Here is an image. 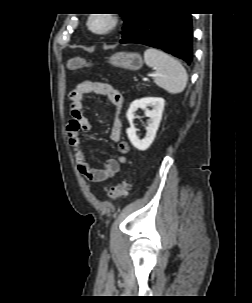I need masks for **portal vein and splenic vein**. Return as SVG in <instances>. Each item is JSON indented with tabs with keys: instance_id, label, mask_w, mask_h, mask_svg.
Instances as JSON below:
<instances>
[{
	"instance_id": "obj_1",
	"label": "portal vein and splenic vein",
	"mask_w": 252,
	"mask_h": 303,
	"mask_svg": "<svg viewBox=\"0 0 252 303\" xmlns=\"http://www.w3.org/2000/svg\"><path fill=\"white\" fill-rule=\"evenodd\" d=\"M150 75H152V74H150ZM148 79L147 78H143V81H147Z\"/></svg>"
}]
</instances>
